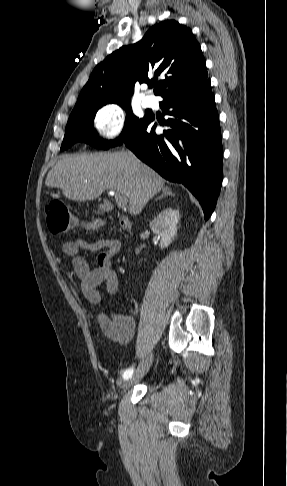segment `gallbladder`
I'll return each mask as SVG.
<instances>
[{"instance_id": "bac80fb5", "label": "gallbladder", "mask_w": 287, "mask_h": 486, "mask_svg": "<svg viewBox=\"0 0 287 486\" xmlns=\"http://www.w3.org/2000/svg\"><path fill=\"white\" fill-rule=\"evenodd\" d=\"M98 209H99L100 211L106 212V211L111 210V206H110L108 203L104 202L103 204H100V205L98 206Z\"/></svg>"}]
</instances>
